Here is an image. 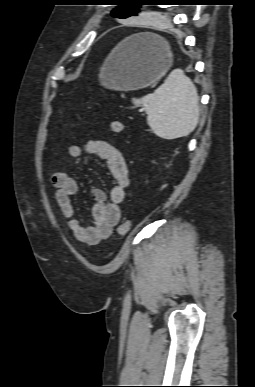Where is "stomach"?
Instances as JSON below:
<instances>
[{
	"instance_id": "obj_1",
	"label": "stomach",
	"mask_w": 255,
	"mask_h": 387,
	"mask_svg": "<svg viewBox=\"0 0 255 387\" xmlns=\"http://www.w3.org/2000/svg\"><path fill=\"white\" fill-rule=\"evenodd\" d=\"M168 43L154 35H133L112 51L99 74L101 84L114 90H135L155 83L171 67Z\"/></svg>"
}]
</instances>
